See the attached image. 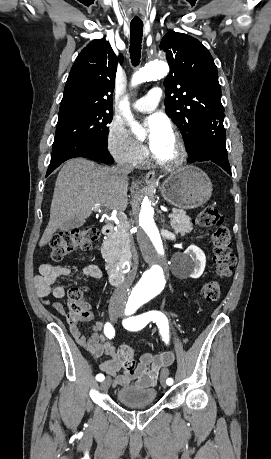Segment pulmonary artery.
<instances>
[{
    "mask_svg": "<svg viewBox=\"0 0 271 459\" xmlns=\"http://www.w3.org/2000/svg\"><path fill=\"white\" fill-rule=\"evenodd\" d=\"M148 94L144 98H138V101L134 103L135 110L139 112H151L156 108L157 104L161 103V92L159 89H150Z\"/></svg>",
    "mask_w": 271,
    "mask_h": 459,
    "instance_id": "e3ab8cb5",
    "label": "pulmonary artery"
}]
</instances>
